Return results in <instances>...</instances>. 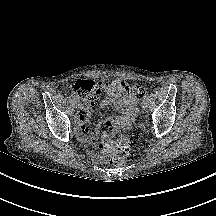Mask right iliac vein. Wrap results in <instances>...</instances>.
Masks as SVG:
<instances>
[{"label": "right iliac vein", "instance_id": "63e3f726", "mask_svg": "<svg viewBox=\"0 0 216 216\" xmlns=\"http://www.w3.org/2000/svg\"><path fill=\"white\" fill-rule=\"evenodd\" d=\"M74 107L75 108H79L80 107V103L77 100L74 101Z\"/></svg>", "mask_w": 216, "mask_h": 216}]
</instances>
